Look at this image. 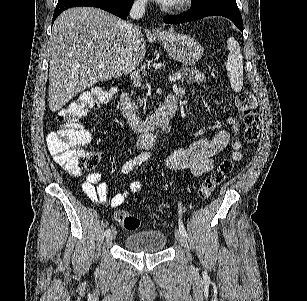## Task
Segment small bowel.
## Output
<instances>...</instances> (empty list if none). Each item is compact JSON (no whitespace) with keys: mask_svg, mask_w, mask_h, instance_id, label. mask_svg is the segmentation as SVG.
<instances>
[{"mask_svg":"<svg viewBox=\"0 0 307 301\" xmlns=\"http://www.w3.org/2000/svg\"><path fill=\"white\" fill-rule=\"evenodd\" d=\"M232 127V132L221 129L211 139H199L191 143L186 148L173 151L166 159L167 165L173 169H188L195 177L202 176L214 168L213 157L231 144L235 159L241 158V143L237 137L239 123L234 117L227 119ZM85 196L93 204H108L116 208L121 206L127 197L141 190L139 182H133L127 190L108 198V186L102 181V176L98 172L90 173L82 184Z\"/></svg>","mask_w":307,"mask_h":301,"instance_id":"c3829d8e","label":"small bowel"}]
</instances>
